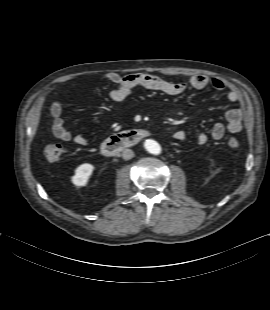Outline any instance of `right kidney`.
<instances>
[{
  "mask_svg": "<svg viewBox=\"0 0 270 310\" xmlns=\"http://www.w3.org/2000/svg\"><path fill=\"white\" fill-rule=\"evenodd\" d=\"M94 171V166L89 163H84L78 166L75 170L71 181L75 186H85Z\"/></svg>",
  "mask_w": 270,
  "mask_h": 310,
  "instance_id": "ca27d5eb",
  "label": "right kidney"
}]
</instances>
